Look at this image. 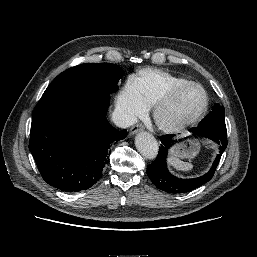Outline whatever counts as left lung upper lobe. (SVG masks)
<instances>
[{
	"label": "left lung upper lobe",
	"mask_w": 257,
	"mask_h": 257,
	"mask_svg": "<svg viewBox=\"0 0 257 257\" xmlns=\"http://www.w3.org/2000/svg\"><path fill=\"white\" fill-rule=\"evenodd\" d=\"M199 127L215 131H226L224 108L219 104H215L212 112L199 123Z\"/></svg>",
	"instance_id": "1"
}]
</instances>
